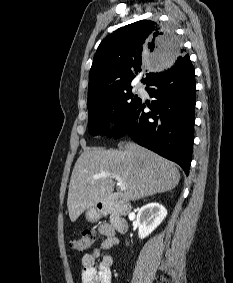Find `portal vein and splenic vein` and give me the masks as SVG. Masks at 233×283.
Returning a JSON list of instances; mask_svg holds the SVG:
<instances>
[{
  "mask_svg": "<svg viewBox=\"0 0 233 283\" xmlns=\"http://www.w3.org/2000/svg\"><path fill=\"white\" fill-rule=\"evenodd\" d=\"M114 176L115 179L118 181V185H119V188L120 190L124 191L126 190L127 188V185L121 180V178L113 173H110V172H101L99 174H96V175H93V179H100V178H105V177H108V176Z\"/></svg>",
  "mask_w": 233,
  "mask_h": 283,
  "instance_id": "obj_1",
  "label": "portal vein and splenic vein"
}]
</instances>
